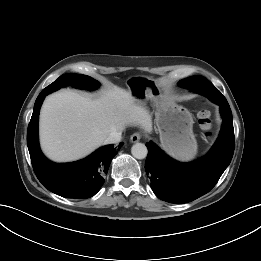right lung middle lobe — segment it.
Wrapping results in <instances>:
<instances>
[{
    "label": "right lung middle lobe",
    "instance_id": "1",
    "mask_svg": "<svg viewBox=\"0 0 261 261\" xmlns=\"http://www.w3.org/2000/svg\"><path fill=\"white\" fill-rule=\"evenodd\" d=\"M56 85H59V86L72 85L77 88L92 90L99 86V82L86 75L64 74V75L60 76L52 84L47 86L46 88L49 89Z\"/></svg>",
    "mask_w": 261,
    "mask_h": 261
}]
</instances>
